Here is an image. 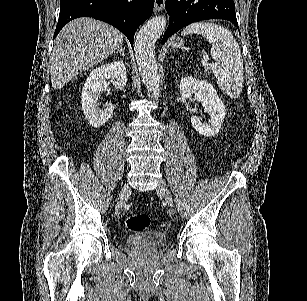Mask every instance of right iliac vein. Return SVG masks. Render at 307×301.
Here are the masks:
<instances>
[{
	"instance_id": "1",
	"label": "right iliac vein",
	"mask_w": 307,
	"mask_h": 301,
	"mask_svg": "<svg viewBox=\"0 0 307 301\" xmlns=\"http://www.w3.org/2000/svg\"><path fill=\"white\" fill-rule=\"evenodd\" d=\"M129 188L128 186H124L121 191H120V195H119V198H118V201H117V204H116V209L117 210H120L124 204H125V200L127 198V196L129 195Z\"/></svg>"
}]
</instances>
